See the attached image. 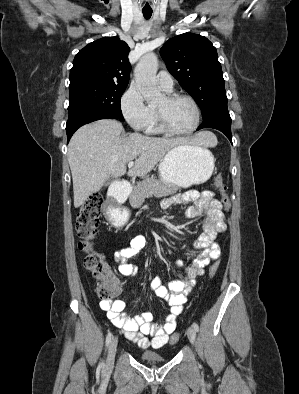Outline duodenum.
Returning <instances> with one entry per match:
<instances>
[{
    "label": "duodenum",
    "mask_w": 299,
    "mask_h": 394,
    "mask_svg": "<svg viewBox=\"0 0 299 394\" xmlns=\"http://www.w3.org/2000/svg\"><path fill=\"white\" fill-rule=\"evenodd\" d=\"M129 190V187L124 184L111 188L109 199L105 205V215L108 221L115 222L118 220L119 204L125 201Z\"/></svg>",
    "instance_id": "1"
}]
</instances>
